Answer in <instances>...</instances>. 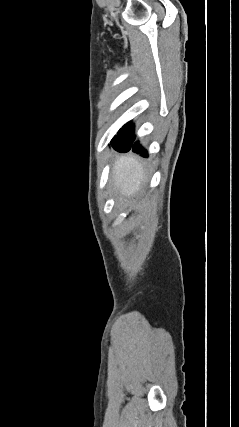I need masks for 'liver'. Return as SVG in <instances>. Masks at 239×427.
<instances>
[{"instance_id": "obj_1", "label": "liver", "mask_w": 239, "mask_h": 427, "mask_svg": "<svg viewBox=\"0 0 239 427\" xmlns=\"http://www.w3.org/2000/svg\"><path fill=\"white\" fill-rule=\"evenodd\" d=\"M112 177L116 192L130 197L141 190L144 171L142 165L133 157L121 156L113 164Z\"/></svg>"}]
</instances>
